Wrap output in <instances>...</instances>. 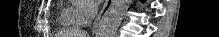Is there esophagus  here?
Segmentation results:
<instances>
[{
  "instance_id": "34e87169",
  "label": "esophagus",
  "mask_w": 219,
  "mask_h": 37,
  "mask_svg": "<svg viewBox=\"0 0 219 37\" xmlns=\"http://www.w3.org/2000/svg\"><path fill=\"white\" fill-rule=\"evenodd\" d=\"M113 0H106L101 11L99 12L97 18L94 21L93 24V34H98L100 31V27L102 25L103 19L106 17L108 14L111 6H112Z\"/></svg>"
}]
</instances>
